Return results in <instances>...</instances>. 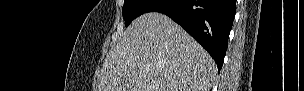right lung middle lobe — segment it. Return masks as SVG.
Listing matches in <instances>:
<instances>
[{"instance_id": "obj_1", "label": "right lung middle lobe", "mask_w": 304, "mask_h": 91, "mask_svg": "<svg viewBox=\"0 0 304 91\" xmlns=\"http://www.w3.org/2000/svg\"><path fill=\"white\" fill-rule=\"evenodd\" d=\"M155 0H124L122 9L125 25L128 26L133 19L146 13Z\"/></svg>"}]
</instances>
